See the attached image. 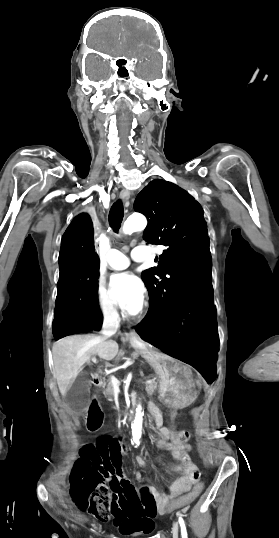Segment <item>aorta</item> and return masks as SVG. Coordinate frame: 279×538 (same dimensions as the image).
Segmentation results:
<instances>
[{
	"mask_svg": "<svg viewBox=\"0 0 279 538\" xmlns=\"http://www.w3.org/2000/svg\"><path fill=\"white\" fill-rule=\"evenodd\" d=\"M146 225L147 220L143 215L133 214L129 216L125 221L123 225V233L132 234L133 232L144 230ZM142 420L143 412L141 406L139 405L136 409L134 424L132 425L133 441L137 444L139 443V439L142 433Z\"/></svg>",
	"mask_w": 279,
	"mask_h": 538,
	"instance_id": "1",
	"label": "aorta"
}]
</instances>
